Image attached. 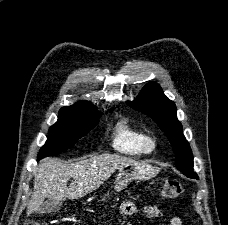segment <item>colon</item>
Listing matches in <instances>:
<instances>
[{
    "mask_svg": "<svg viewBox=\"0 0 228 225\" xmlns=\"http://www.w3.org/2000/svg\"><path fill=\"white\" fill-rule=\"evenodd\" d=\"M184 192L183 185L178 179L169 178L164 180L162 195L166 199H177ZM27 225H40L37 221H31Z\"/></svg>",
    "mask_w": 228,
    "mask_h": 225,
    "instance_id": "obj_1",
    "label": "colon"
}]
</instances>
